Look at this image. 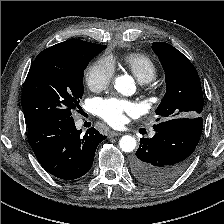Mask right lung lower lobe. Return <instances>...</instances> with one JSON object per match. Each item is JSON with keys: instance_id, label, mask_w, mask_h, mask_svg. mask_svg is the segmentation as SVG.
Wrapping results in <instances>:
<instances>
[{"instance_id": "right-lung-lower-lobe-1", "label": "right lung lower lobe", "mask_w": 224, "mask_h": 224, "mask_svg": "<svg viewBox=\"0 0 224 224\" xmlns=\"http://www.w3.org/2000/svg\"><path fill=\"white\" fill-rule=\"evenodd\" d=\"M81 132L73 119L46 120L28 128V142L48 173L73 180L90 170L96 148L106 138L94 127Z\"/></svg>"}]
</instances>
